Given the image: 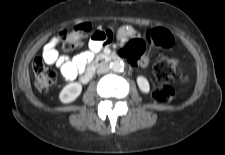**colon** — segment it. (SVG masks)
<instances>
[{
	"label": "colon",
	"mask_w": 225,
	"mask_h": 155,
	"mask_svg": "<svg viewBox=\"0 0 225 155\" xmlns=\"http://www.w3.org/2000/svg\"><path fill=\"white\" fill-rule=\"evenodd\" d=\"M92 26L89 23H82L70 30L60 33V41L65 50H74L82 46L84 38L91 32ZM150 44L162 47L173 45L172 34L165 28L157 27L152 29L146 36ZM145 51V42L140 39L129 41L121 50V55L131 67L139 65ZM182 61L177 57H165L158 60L153 67V73L160 86L152 91V98L155 102L166 104L175 97V90L171 82L185 81L186 74L182 69ZM35 76L36 87L41 92H47L56 82V71L48 66L41 58L35 59L32 64Z\"/></svg>",
	"instance_id": "5ec220e1"
}]
</instances>
